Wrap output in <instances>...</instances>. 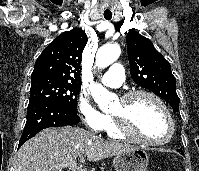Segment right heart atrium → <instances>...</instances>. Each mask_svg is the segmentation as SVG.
<instances>
[{"label":"right heart atrium","mask_w":199,"mask_h":171,"mask_svg":"<svg viewBox=\"0 0 199 171\" xmlns=\"http://www.w3.org/2000/svg\"><path fill=\"white\" fill-rule=\"evenodd\" d=\"M77 112L83 124L92 132H101L107 124V115L92 103L87 94L81 92L76 101Z\"/></svg>","instance_id":"1"}]
</instances>
